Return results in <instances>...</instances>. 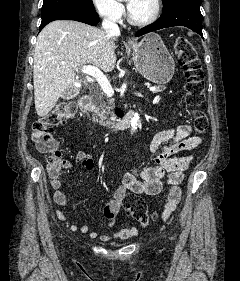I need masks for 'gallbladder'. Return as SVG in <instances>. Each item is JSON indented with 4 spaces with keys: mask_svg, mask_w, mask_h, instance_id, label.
I'll return each instance as SVG.
<instances>
[{
    "mask_svg": "<svg viewBox=\"0 0 240 281\" xmlns=\"http://www.w3.org/2000/svg\"><path fill=\"white\" fill-rule=\"evenodd\" d=\"M71 89L65 90V93L63 94L64 99H68L70 97Z\"/></svg>",
    "mask_w": 240,
    "mask_h": 281,
    "instance_id": "bac80fb5",
    "label": "gallbladder"
}]
</instances>
